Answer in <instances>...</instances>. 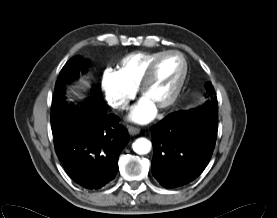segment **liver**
Here are the masks:
<instances>
[{
    "mask_svg": "<svg viewBox=\"0 0 277 218\" xmlns=\"http://www.w3.org/2000/svg\"><path fill=\"white\" fill-rule=\"evenodd\" d=\"M76 96H78L79 98H81V96L79 95V94H77V93H74Z\"/></svg>",
    "mask_w": 277,
    "mask_h": 218,
    "instance_id": "6515ba94",
    "label": "liver"
}]
</instances>
